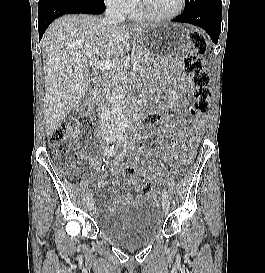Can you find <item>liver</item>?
Returning a JSON list of instances; mask_svg holds the SVG:
<instances>
[{
    "mask_svg": "<svg viewBox=\"0 0 265 273\" xmlns=\"http://www.w3.org/2000/svg\"><path fill=\"white\" fill-rule=\"evenodd\" d=\"M100 17L65 15L55 20L42 38L45 70L43 115L46 136L50 137L63 119L84 97L91 77L89 59L118 61L130 40L129 34L149 27H106Z\"/></svg>",
    "mask_w": 265,
    "mask_h": 273,
    "instance_id": "liver-1",
    "label": "liver"
}]
</instances>
